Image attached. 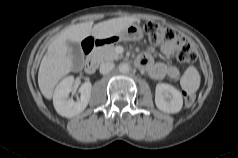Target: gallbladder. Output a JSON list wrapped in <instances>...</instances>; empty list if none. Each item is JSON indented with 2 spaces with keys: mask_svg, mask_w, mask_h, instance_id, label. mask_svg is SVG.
I'll return each instance as SVG.
<instances>
[{
  "mask_svg": "<svg viewBox=\"0 0 238 158\" xmlns=\"http://www.w3.org/2000/svg\"><path fill=\"white\" fill-rule=\"evenodd\" d=\"M67 46L71 50L74 65L77 67L81 66L83 62V52L80 45L76 42L67 41Z\"/></svg>",
  "mask_w": 238,
  "mask_h": 158,
  "instance_id": "1",
  "label": "gallbladder"
}]
</instances>
